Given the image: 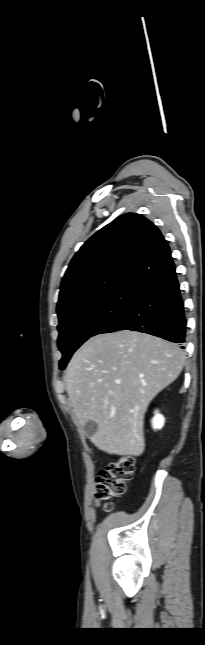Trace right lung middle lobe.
<instances>
[{"label": "right lung middle lobe", "mask_w": 205, "mask_h": 645, "mask_svg": "<svg viewBox=\"0 0 205 645\" xmlns=\"http://www.w3.org/2000/svg\"><path fill=\"white\" fill-rule=\"evenodd\" d=\"M140 294V285L126 283L109 291L84 297L60 312L58 346L63 354V370L74 351L90 337L105 328L129 309Z\"/></svg>", "instance_id": "right-lung-middle-lobe-1"}]
</instances>
